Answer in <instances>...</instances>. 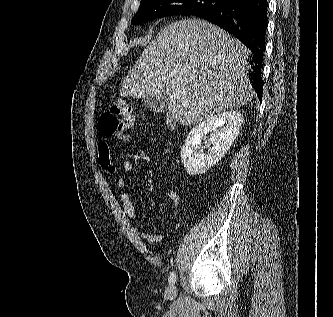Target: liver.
Instances as JSON below:
<instances>
[{
  "instance_id": "obj_1",
  "label": "liver",
  "mask_w": 333,
  "mask_h": 317,
  "mask_svg": "<svg viewBox=\"0 0 333 317\" xmlns=\"http://www.w3.org/2000/svg\"><path fill=\"white\" fill-rule=\"evenodd\" d=\"M248 49L219 27L184 19L164 27L124 79L123 97L166 96V112L183 126L251 102Z\"/></svg>"
}]
</instances>
